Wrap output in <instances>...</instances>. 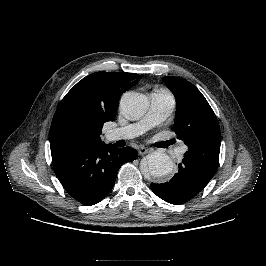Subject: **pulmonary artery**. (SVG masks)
Wrapping results in <instances>:
<instances>
[{
  "mask_svg": "<svg viewBox=\"0 0 266 266\" xmlns=\"http://www.w3.org/2000/svg\"><path fill=\"white\" fill-rule=\"evenodd\" d=\"M150 108L144 118L135 124L110 129L106 137L109 141L126 140L134 138L150 127L164 121L175 108V98L166 89L153 90L150 95ZM185 151V147L180 148V153Z\"/></svg>",
  "mask_w": 266,
  "mask_h": 266,
  "instance_id": "e3ab8cb5",
  "label": "pulmonary artery"
}]
</instances>
